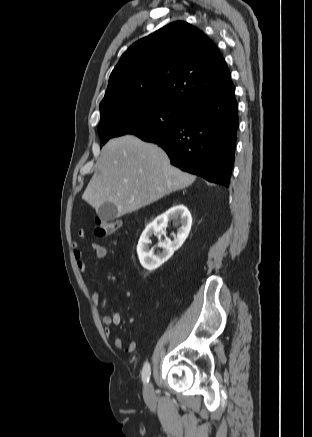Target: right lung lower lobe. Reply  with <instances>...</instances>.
Wrapping results in <instances>:
<instances>
[{
	"instance_id": "right-lung-lower-lobe-1",
	"label": "right lung lower lobe",
	"mask_w": 312,
	"mask_h": 437,
	"mask_svg": "<svg viewBox=\"0 0 312 437\" xmlns=\"http://www.w3.org/2000/svg\"><path fill=\"white\" fill-rule=\"evenodd\" d=\"M239 125L235 86L230 81L217 93L193 103L179 124L143 140L162 147L171 164L229 186Z\"/></svg>"
}]
</instances>
